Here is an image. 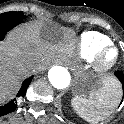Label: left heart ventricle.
Instances as JSON below:
<instances>
[{
    "label": "left heart ventricle",
    "instance_id": "obj_1",
    "mask_svg": "<svg viewBox=\"0 0 124 124\" xmlns=\"http://www.w3.org/2000/svg\"><path fill=\"white\" fill-rule=\"evenodd\" d=\"M114 56H115V52H110L109 54H108V56H107V60L108 61H111L113 58H114Z\"/></svg>",
    "mask_w": 124,
    "mask_h": 124
}]
</instances>
